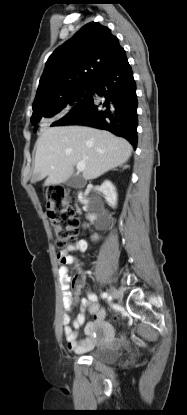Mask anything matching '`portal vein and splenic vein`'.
<instances>
[{
	"label": "portal vein and splenic vein",
	"instance_id": "portal-vein-and-splenic-vein-1",
	"mask_svg": "<svg viewBox=\"0 0 187 415\" xmlns=\"http://www.w3.org/2000/svg\"><path fill=\"white\" fill-rule=\"evenodd\" d=\"M85 169V163L83 161L77 163V170L83 171Z\"/></svg>",
	"mask_w": 187,
	"mask_h": 415
}]
</instances>
